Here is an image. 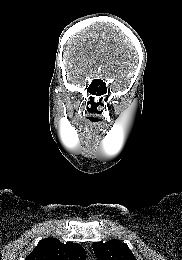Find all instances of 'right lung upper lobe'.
<instances>
[{
	"mask_svg": "<svg viewBox=\"0 0 182 260\" xmlns=\"http://www.w3.org/2000/svg\"><path fill=\"white\" fill-rule=\"evenodd\" d=\"M84 248L73 242L61 243L55 238L41 240L25 260H85Z\"/></svg>",
	"mask_w": 182,
	"mask_h": 260,
	"instance_id": "cb5924a9",
	"label": "right lung upper lobe"
}]
</instances>
